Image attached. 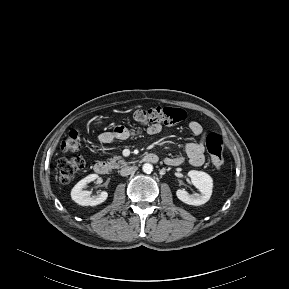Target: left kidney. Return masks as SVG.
Returning a JSON list of instances; mask_svg holds the SVG:
<instances>
[{"label":"left kidney","instance_id":"obj_1","mask_svg":"<svg viewBox=\"0 0 289 289\" xmlns=\"http://www.w3.org/2000/svg\"><path fill=\"white\" fill-rule=\"evenodd\" d=\"M188 176L200 193L189 194L184 189H178L176 191L177 198L188 205L199 206L206 203L212 194V178L207 173L196 170L189 171Z\"/></svg>","mask_w":289,"mask_h":289}]
</instances>
